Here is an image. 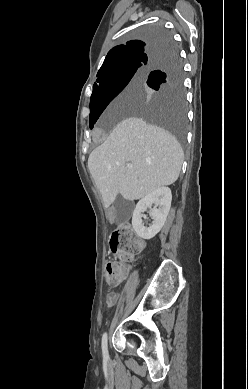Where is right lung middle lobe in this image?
I'll use <instances>...</instances> for the list:
<instances>
[{"label":"right lung middle lobe","mask_w":248,"mask_h":389,"mask_svg":"<svg viewBox=\"0 0 248 389\" xmlns=\"http://www.w3.org/2000/svg\"><path fill=\"white\" fill-rule=\"evenodd\" d=\"M148 42L163 40L173 43L170 36L161 28H149L142 32ZM163 71L160 77H148L153 71ZM144 84L153 89L148 102L136 100L123 106L127 112L138 115L145 121L170 131L180 143L185 141L186 105L183 91V67L177 49L173 47L151 66L140 65L113 70L96 80L90 100L89 126L94 124L108 104L130 83Z\"/></svg>","instance_id":"dd1d6c3e"}]
</instances>
